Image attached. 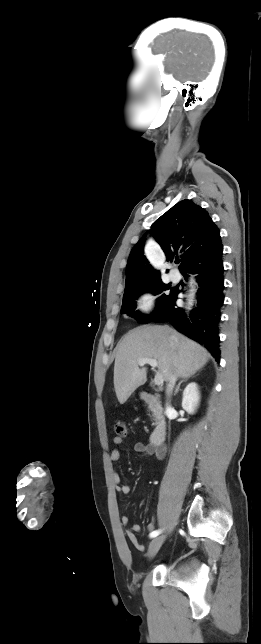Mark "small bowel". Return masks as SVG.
Instances as JSON below:
<instances>
[{"instance_id": "small-bowel-1", "label": "small bowel", "mask_w": 261, "mask_h": 644, "mask_svg": "<svg viewBox=\"0 0 261 644\" xmlns=\"http://www.w3.org/2000/svg\"><path fill=\"white\" fill-rule=\"evenodd\" d=\"M122 442H123L122 438H119V437L114 438V443H115L116 446H120L122 444ZM134 451L136 453H138L142 457H148V456H151V455H155L158 459H162L164 457V455H165L164 448L156 447V446H153V445H150V444H144L142 442H138V443H136L134 445ZM110 459L112 461H118L120 459V451H119L118 448H115V449L112 450V452L110 454ZM113 481H114V483L116 485L117 491H119L120 493H122L124 495H128V494L131 493V487L128 484H123L122 483L120 474L118 472L113 473ZM120 520H121L122 525H124V526H127L129 524V518L127 516H125V515H123ZM154 528H155V523H154V521H152L151 523H149L148 529L152 533ZM140 529H141L140 525L132 524L129 528L126 529L125 534H126V537L128 538V540L133 544V546L138 551H144L145 546L143 544H141L138 541V538H137V533L140 531Z\"/></svg>"}]
</instances>
